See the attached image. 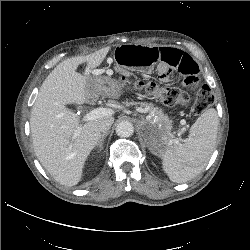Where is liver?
<instances>
[{
    "mask_svg": "<svg viewBox=\"0 0 250 250\" xmlns=\"http://www.w3.org/2000/svg\"><path fill=\"white\" fill-rule=\"evenodd\" d=\"M108 52L109 47H105L58 64L43 82L32 107L30 128L35 155L62 185L71 187L80 182L85 161L101 137L99 124L113 118L107 115L81 125L79 117L65 106L86 102L91 74ZM82 63L87 66L80 74L76 70ZM78 128L80 133L75 135Z\"/></svg>",
    "mask_w": 250,
    "mask_h": 250,
    "instance_id": "liver-1",
    "label": "liver"
}]
</instances>
